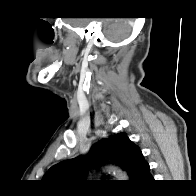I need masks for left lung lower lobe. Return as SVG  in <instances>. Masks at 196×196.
I'll use <instances>...</instances> for the list:
<instances>
[{"instance_id": "1", "label": "left lung lower lobe", "mask_w": 196, "mask_h": 196, "mask_svg": "<svg viewBox=\"0 0 196 196\" xmlns=\"http://www.w3.org/2000/svg\"><path fill=\"white\" fill-rule=\"evenodd\" d=\"M153 180L152 175L150 174L149 164L145 161L142 162L135 174V182H145Z\"/></svg>"}]
</instances>
